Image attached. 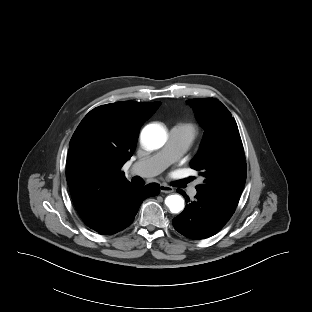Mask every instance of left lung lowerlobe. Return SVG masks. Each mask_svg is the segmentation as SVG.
Here are the masks:
<instances>
[{"instance_id": "0a47b994", "label": "left lung lower lobe", "mask_w": 312, "mask_h": 312, "mask_svg": "<svg viewBox=\"0 0 312 312\" xmlns=\"http://www.w3.org/2000/svg\"><path fill=\"white\" fill-rule=\"evenodd\" d=\"M177 191L185 195L182 190ZM195 197L191 203H188L189 197L186 198L184 211L172 222L180 234L191 239H203L219 232L235 210L215 198L198 193Z\"/></svg>"}]
</instances>
